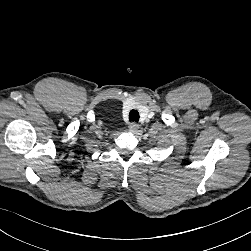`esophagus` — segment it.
Wrapping results in <instances>:
<instances>
[{
  "label": "esophagus",
  "mask_w": 251,
  "mask_h": 251,
  "mask_svg": "<svg viewBox=\"0 0 251 251\" xmlns=\"http://www.w3.org/2000/svg\"><path fill=\"white\" fill-rule=\"evenodd\" d=\"M129 129L131 132H136L139 129V125L135 122L129 124Z\"/></svg>",
  "instance_id": "obj_1"
}]
</instances>
